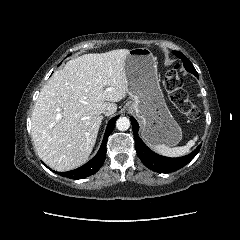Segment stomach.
<instances>
[{"label":"stomach","instance_id":"1","mask_svg":"<svg viewBox=\"0 0 240 240\" xmlns=\"http://www.w3.org/2000/svg\"><path fill=\"white\" fill-rule=\"evenodd\" d=\"M124 63L131 98L128 109L139 119L142 137L150 145L175 146L182 139V130L165 103L152 52L133 48Z\"/></svg>","mask_w":240,"mask_h":240}]
</instances>
